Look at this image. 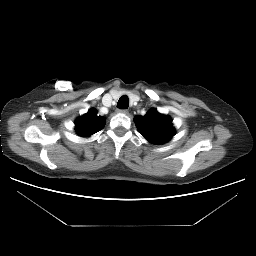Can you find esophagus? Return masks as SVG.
<instances>
[{"label":"esophagus","instance_id":"1","mask_svg":"<svg viewBox=\"0 0 256 256\" xmlns=\"http://www.w3.org/2000/svg\"><path fill=\"white\" fill-rule=\"evenodd\" d=\"M118 113H122V114H127L128 110L127 109H119L117 110Z\"/></svg>","mask_w":256,"mask_h":256}]
</instances>
